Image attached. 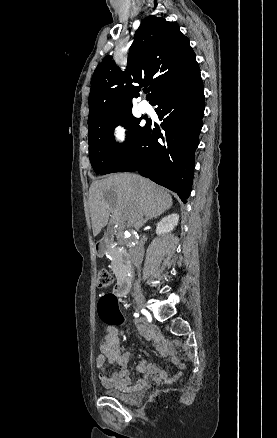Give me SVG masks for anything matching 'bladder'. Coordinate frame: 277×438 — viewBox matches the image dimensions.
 <instances>
[{"instance_id": "31cf9c89", "label": "bladder", "mask_w": 277, "mask_h": 438, "mask_svg": "<svg viewBox=\"0 0 277 438\" xmlns=\"http://www.w3.org/2000/svg\"><path fill=\"white\" fill-rule=\"evenodd\" d=\"M103 394H105L107 397L117 400L123 404H127L130 402L131 398L133 397L132 394L125 392L118 388H106L103 391Z\"/></svg>"}]
</instances>
